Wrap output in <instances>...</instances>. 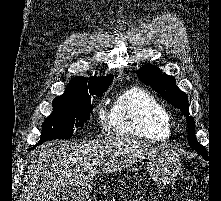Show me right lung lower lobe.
Segmentation results:
<instances>
[{"label": "right lung lower lobe", "instance_id": "obj_1", "mask_svg": "<svg viewBox=\"0 0 221 201\" xmlns=\"http://www.w3.org/2000/svg\"><path fill=\"white\" fill-rule=\"evenodd\" d=\"M40 143H37L34 147H32L31 149L35 148L37 145H39Z\"/></svg>", "mask_w": 221, "mask_h": 201}]
</instances>
